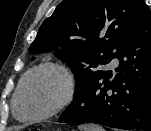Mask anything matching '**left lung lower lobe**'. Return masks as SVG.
Returning a JSON list of instances; mask_svg holds the SVG:
<instances>
[{"mask_svg": "<svg viewBox=\"0 0 151 131\" xmlns=\"http://www.w3.org/2000/svg\"><path fill=\"white\" fill-rule=\"evenodd\" d=\"M113 79L106 71L76 96L58 122L151 131V12L142 3Z\"/></svg>", "mask_w": 151, "mask_h": 131, "instance_id": "0a47b994", "label": "left lung lower lobe"}]
</instances>
